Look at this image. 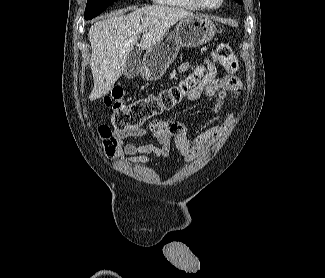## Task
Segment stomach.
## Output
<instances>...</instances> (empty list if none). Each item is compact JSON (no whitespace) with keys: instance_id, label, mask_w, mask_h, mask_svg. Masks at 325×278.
<instances>
[{"instance_id":"1","label":"stomach","mask_w":325,"mask_h":278,"mask_svg":"<svg viewBox=\"0 0 325 278\" xmlns=\"http://www.w3.org/2000/svg\"><path fill=\"white\" fill-rule=\"evenodd\" d=\"M216 31V25L205 16L195 15L179 20L174 32L165 34L156 45L146 50L142 76L147 80L161 78L181 47L202 46L214 38Z\"/></svg>"}]
</instances>
